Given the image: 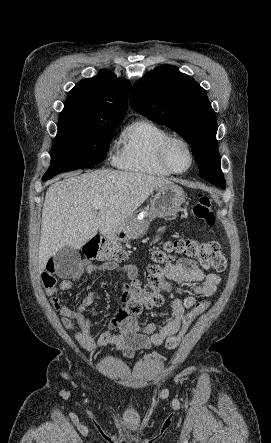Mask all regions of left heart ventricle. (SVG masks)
<instances>
[{
  "instance_id": "b2bd125f",
  "label": "left heart ventricle",
  "mask_w": 271,
  "mask_h": 443,
  "mask_svg": "<svg viewBox=\"0 0 271 443\" xmlns=\"http://www.w3.org/2000/svg\"><path fill=\"white\" fill-rule=\"evenodd\" d=\"M168 158L177 170H186L191 164L188 148L180 141H173L168 148Z\"/></svg>"
}]
</instances>
